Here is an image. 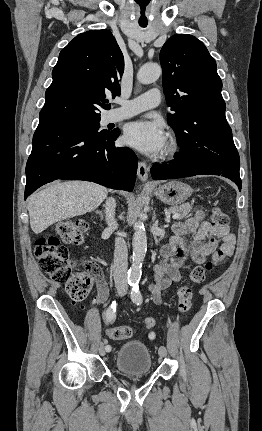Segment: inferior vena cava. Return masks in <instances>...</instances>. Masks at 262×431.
<instances>
[{"label": "inferior vena cava", "instance_id": "inferior-vena-cava-1", "mask_svg": "<svg viewBox=\"0 0 262 431\" xmlns=\"http://www.w3.org/2000/svg\"><path fill=\"white\" fill-rule=\"evenodd\" d=\"M115 207V200L113 198H109L106 201V222L108 228L111 230L116 229L118 226L115 220ZM127 258L128 250L125 240L121 237H118L115 239L113 275L116 287L123 291L128 289Z\"/></svg>", "mask_w": 262, "mask_h": 431}]
</instances>
